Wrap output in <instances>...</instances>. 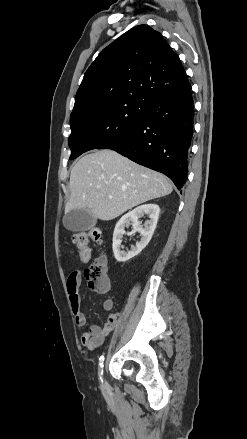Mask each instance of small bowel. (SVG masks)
Returning <instances> with one entry per match:
<instances>
[{"label":"small bowel","mask_w":247,"mask_h":439,"mask_svg":"<svg viewBox=\"0 0 247 439\" xmlns=\"http://www.w3.org/2000/svg\"><path fill=\"white\" fill-rule=\"evenodd\" d=\"M82 282V272L74 270L70 273L67 279V290L71 308L74 314L75 323L78 328H83L87 325V317L81 310V299L79 295V287ZM114 307L113 300L108 298L103 302V309L111 311ZM118 320V313H111L104 326L100 327L97 324H91L81 335V343L89 350H94L100 347L106 336L115 328Z\"/></svg>","instance_id":"obj_1"}]
</instances>
